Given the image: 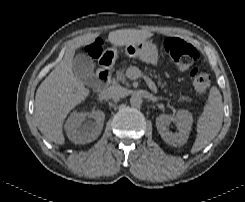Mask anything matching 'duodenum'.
Masks as SVG:
<instances>
[{"label": "duodenum", "mask_w": 245, "mask_h": 202, "mask_svg": "<svg viewBox=\"0 0 245 202\" xmlns=\"http://www.w3.org/2000/svg\"><path fill=\"white\" fill-rule=\"evenodd\" d=\"M111 63L112 57L103 54L98 63V70L96 74V86L99 89L107 87L111 78Z\"/></svg>", "instance_id": "1"}]
</instances>
